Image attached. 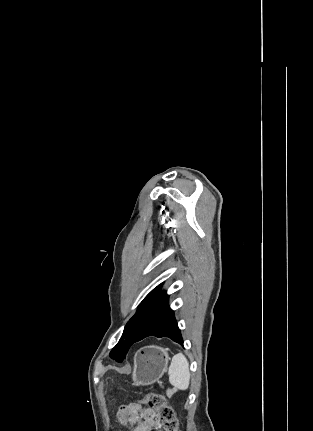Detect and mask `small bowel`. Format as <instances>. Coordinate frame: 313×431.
Instances as JSON below:
<instances>
[{"instance_id": "1", "label": "small bowel", "mask_w": 313, "mask_h": 431, "mask_svg": "<svg viewBox=\"0 0 313 431\" xmlns=\"http://www.w3.org/2000/svg\"><path fill=\"white\" fill-rule=\"evenodd\" d=\"M118 420L133 431H151L158 422L156 412L138 404L120 407L117 413Z\"/></svg>"}]
</instances>
